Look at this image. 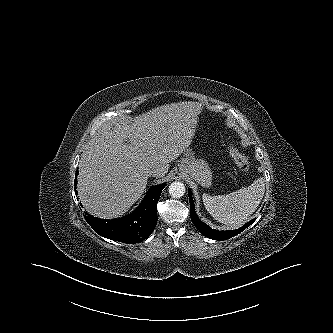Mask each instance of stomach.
<instances>
[{"label": "stomach", "mask_w": 333, "mask_h": 333, "mask_svg": "<svg viewBox=\"0 0 333 333\" xmlns=\"http://www.w3.org/2000/svg\"><path fill=\"white\" fill-rule=\"evenodd\" d=\"M179 172L197 181L201 186L209 187L212 183V172L208 163L197 158L191 150L184 153L179 164Z\"/></svg>", "instance_id": "0dacf381"}]
</instances>
